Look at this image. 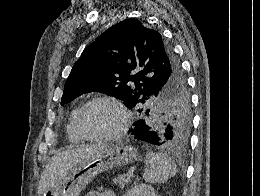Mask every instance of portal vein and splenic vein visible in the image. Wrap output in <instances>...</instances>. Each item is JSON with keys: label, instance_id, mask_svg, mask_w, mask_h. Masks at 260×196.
Returning a JSON list of instances; mask_svg holds the SVG:
<instances>
[{"label": "portal vein and splenic vein", "instance_id": "1", "mask_svg": "<svg viewBox=\"0 0 260 196\" xmlns=\"http://www.w3.org/2000/svg\"><path fill=\"white\" fill-rule=\"evenodd\" d=\"M127 178H133V170H130V172H128Z\"/></svg>", "mask_w": 260, "mask_h": 196}]
</instances>
